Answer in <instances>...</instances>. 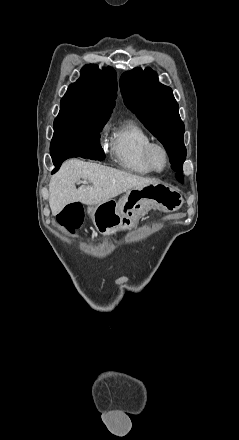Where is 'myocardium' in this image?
Listing matches in <instances>:
<instances>
[{
  "label": "myocardium",
  "instance_id": "myocardium-1",
  "mask_svg": "<svg viewBox=\"0 0 239 440\" xmlns=\"http://www.w3.org/2000/svg\"><path fill=\"white\" fill-rule=\"evenodd\" d=\"M157 151L162 152V154L164 156L165 166L163 169H159L156 166L155 154ZM145 159H146V162H147L148 166L150 167V169L155 173L165 172L168 169L169 164H170L169 152H168L167 148L165 147V145H163L160 142H153L152 141L148 144V146L145 149Z\"/></svg>",
  "mask_w": 239,
  "mask_h": 440
}]
</instances>
